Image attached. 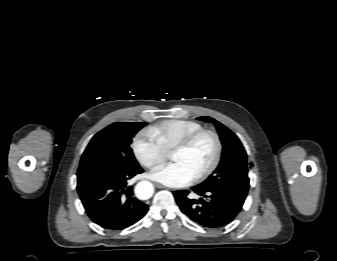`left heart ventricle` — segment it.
<instances>
[{
  "label": "left heart ventricle",
  "instance_id": "1",
  "mask_svg": "<svg viewBox=\"0 0 337 261\" xmlns=\"http://www.w3.org/2000/svg\"><path fill=\"white\" fill-rule=\"evenodd\" d=\"M215 154V142L210 135L200 137L189 149L171 155L174 162L182 163L195 177L211 164Z\"/></svg>",
  "mask_w": 337,
  "mask_h": 261
}]
</instances>
